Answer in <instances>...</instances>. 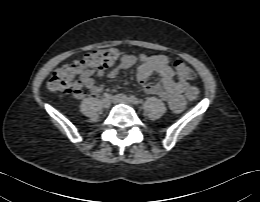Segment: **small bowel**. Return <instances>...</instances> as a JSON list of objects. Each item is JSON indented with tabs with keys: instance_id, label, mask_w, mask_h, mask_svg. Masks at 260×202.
<instances>
[{
	"instance_id": "obj_1",
	"label": "small bowel",
	"mask_w": 260,
	"mask_h": 202,
	"mask_svg": "<svg viewBox=\"0 0 260 202\" xmlns=\"http://www.w3.org/2000/svg\"><path fill=\"white\" fill-rule=\"evenodd\" d=\"M138 62L140 64L137 67V80L144 90L149 94L160 97L175 112H180L184 106L182 94L188 90L189 84L175 79L173 69L169 65L168 59L163 55L147 56L143 54L135 56L125 54L120 58L118 66L108 73V77L115 79L122 70L131 68ZM153 74L159 76V81L155 84H146V80ZM83 84L92 94H99L104 88L103 84L99 83L91 75L84 78ZM84 95L85 92L82 86L78 87L73 94L76 99H81Z\"/></svg>"
}]
</instances>
